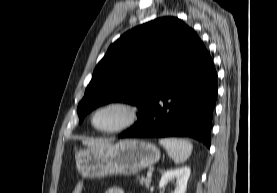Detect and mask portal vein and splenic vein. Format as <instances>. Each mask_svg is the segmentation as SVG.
Returning <instances> with one entry per match:
<instances>
[{"instance_id": "obj_1", "label": "portal vein and splenic vein", "mask_w": 277, "mask_h": 193, "mask_svg": "<svg viewBox=\"0 0 277 193\" xmlns=\"http://www.w3.org/2000/svg\"><path fill=\"white\" fill-rule=\"evenodd\" d=\"M147 177H148V178H151V177H152V172H151V171L147 172Z\"/></svg>"}]
</instances>
